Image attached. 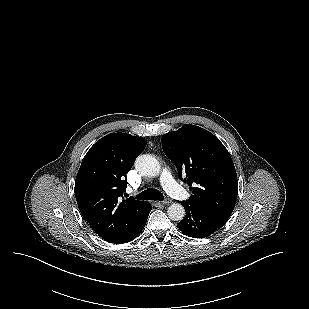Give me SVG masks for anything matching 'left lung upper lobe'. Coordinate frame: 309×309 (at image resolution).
Returning a JSON list of instances; mask_svg holds the SVG:
<instances>
[{
    "mask_svg": "<svg viewBox=\"0 0 309 309\" xmlns=\"http://www.w3.org/2000/svg\"><path fill=\"white\" fill-rule=\"evenodd\" d=\"M166 156L176 165L179 178L193 195L189 204L200 205L226 219L238 193V180L225 146L209 131L186 124L162 136Z\"/></svg>",
    "mask_w": 309,
    "mask_h": 309,
    "instance_id": "obj_1",
    "label": "left lung upper lobe"
}]
</instances>
